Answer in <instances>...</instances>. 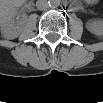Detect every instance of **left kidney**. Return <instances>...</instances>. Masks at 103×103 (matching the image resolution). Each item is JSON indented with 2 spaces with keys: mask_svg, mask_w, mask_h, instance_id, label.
<instances>
[{
  "mask_svg": "<svg viewBox=\"0 0 103 103\" xmlns=\"http://www.w3.org/2000/svg\"><path fill=\"white\" fill-rule=\"evenodd\" d=\"M95 34H99L97 31H93ZM101 33V32H100Z\"/></svg>",
  "mask_w": 103,
  "mask_h": 103,
  "instance_id": "obj_1",
  "label": "left kidney"
}]
</instances>
